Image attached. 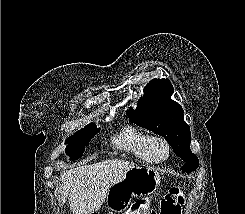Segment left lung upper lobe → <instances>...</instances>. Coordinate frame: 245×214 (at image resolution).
Wrapping results in <instances>:
<instances>
[{
    "instance_id": "5c2ea615",
    "label": "left lung upper lobe",
    "mask_w": 245,
    "mask_h": 214,
    "mask_svg": "<svg viewBox=\"0 0 245 214\" xmlns=\"http://www.w3.org/2000/svg\"><path fill=\"white\" fill-rule=\"evenodd\" d=\"M173 92L169 79H153L144 88L138 108L127 112L133 123L163 136L185 162L182 170L191 173L199 166V160L190 150V129L181 105L171 99Z\"/></svg>"
}]
</instances>
